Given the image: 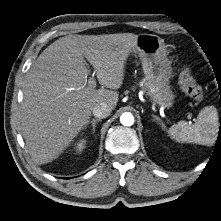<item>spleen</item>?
Wrapping results in <instances>:
<instances>
[{
  "mask_svg": "<svg viewBox=\"0 0 221 221\" xmlns=\"http://www.w3.org/2000/svg\"><path fill=\"white\" fill-rule=\"evenodd\" d=\"M217 121L216 110L205 107L199 112L195 123L180 121L172 125L167 133L176 142L206 145L212 141V135L217 131Z\"/></svg>",
  "mask_w": 221,
  "mask_h": 221,
  "instance_id": "3e777b00",
  "label": "spleen"
}]
</instances>
